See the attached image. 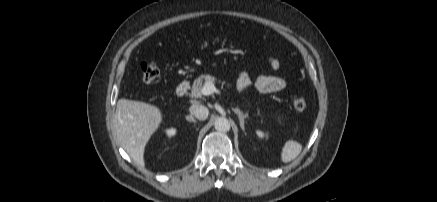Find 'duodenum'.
Wrapping results in <instances>:
<instances>
[{
	"label": "duodenum",
	"mask_w": 437,
	"mask_h": 202,
	"mask_svg": "<svg viewBox=\"0 0 437 202\" xmlns=\"http://www.w3.org/2000/svg\"><path fill=\"white\" fill-rule=\"evenodd\" d=\"M189 89V82L188 81H182L179 83L175 89V94L178 97H183L186 95L187 91Z\"/></svg>",
	"instance_id": "410a0bca"
}]
</instances>
